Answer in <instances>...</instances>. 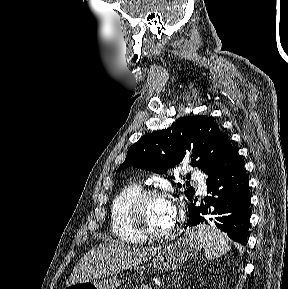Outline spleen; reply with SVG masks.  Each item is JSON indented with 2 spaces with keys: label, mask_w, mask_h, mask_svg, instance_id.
Instances as JSON below:
<instances>
[{
  "label": "spleen",
  "mask_w": 288,
  "mask_h": 289,
  "mask_svg": "<svg viewBox=\"0 0 288 289\" xmlns=\"http://www.w3.org/2000/svg\"><path fill=\"white\" fill-rule=\"evenodd\" d=\"M188 233L194 235L198 242L204 246L205 257L208 260L218 258L230 250L226 236L216 227L200 225L195 229L189 230Z\"/></svg>",
  "instance_id": "1"
}]
</instances>
